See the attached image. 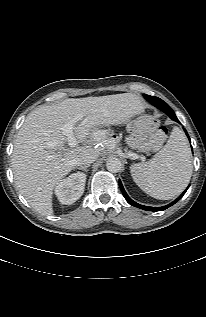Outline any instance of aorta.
<instances>
[{
  "mask_svg": "<svg viewBox=\"0 0 206 317\" xmlns=\"http://www.w3.org/2000/svg\"><path fill=\"white\" fill-rule=\"evenodd\" d=\"M106 167L108 171L112 173H117L121 170L122 168V163L118 158H109L106 162Z\"/></svg>",
  "mask_w": 206,
  "mask_h": 317,
  "instance_id": "aorta-1",
  "label": "aorta"
}]
</instances>
